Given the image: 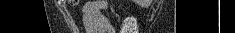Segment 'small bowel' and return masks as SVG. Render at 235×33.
Returning <instances> with one entry per match:
<instances>
[{"label":"small bowel","mask_w":235,"mask_h":33,"mask_svg":"<svg viewBox=\"0 0 235 33\" xmlns=\"http://www.w3.org/2000/svg\"><path fill=\"white\" fill-rule=\"evenodd\" d=\"M103 1H89L83 6V23L86 33H115L114 27L102 14Z\"/></svg>","instance_id":"c3829d8e"}]
</instances>
